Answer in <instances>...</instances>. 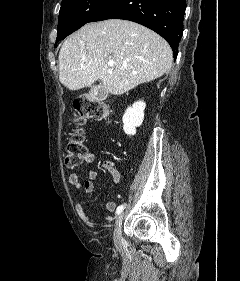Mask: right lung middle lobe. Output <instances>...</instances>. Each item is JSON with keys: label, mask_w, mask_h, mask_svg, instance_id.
<instances>
[{"label": "right lung middle lobe", "mask_w": 240, "mask_h": 281, "mask_svg": "<svg viewBox=\"0 0 240 281\" xmlns=\"http://www.w3.org/2000/svg\"><path fill=\"white\" fill-rule=\"evenodd\" d=\"M116 0H62L56 43L88 22H93Z\"/></svg>", "instance_id": "dd1d6c3e"}]
</instances>
